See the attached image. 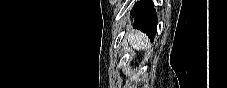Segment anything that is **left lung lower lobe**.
I'll return each mask as SVG.
<instances>
[{"label":"left lung lower lobe","mask_w":227,"mask_h":88,"mask_svg":"<svg viewBox=\"0 0 227 88\" xmlns=\"http://www.w3.org/2000/svg\"><path fill=\"white\" fill-rule=\"evenodd\" d=\"M134 28L146 33L153 41L157 29V14L151 0L137 2L131 10Z\"/></svg>","instance_id":"1"}]
</instances>
